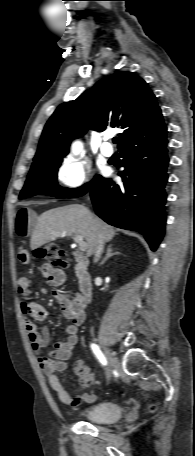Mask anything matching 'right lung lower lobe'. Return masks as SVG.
Segmentation results:
<instances>
[{"label": "right lung lower lobe", "mask_w": 195, "mask_h": 456, "mask_svg": "<svg viewBox=\"0 0 195 456\" xmlns=\"http://www.w3.org/2000/svg\"><path fill=\"white\" fill-rule=\"evenodd\" d=\"M166 133L139 136L122 146L119 151L125 170L119 175L123 185L101 177L90 189L99 217L113 226L142 233L153 251L163 238L166 222Z\"/></svg>", "instance_id": "1"}]
</instances>
